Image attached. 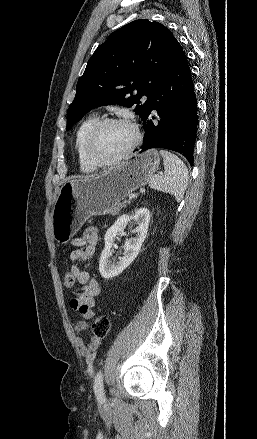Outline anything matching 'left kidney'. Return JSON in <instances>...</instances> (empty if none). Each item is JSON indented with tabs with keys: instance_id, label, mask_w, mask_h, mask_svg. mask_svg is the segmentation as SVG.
<instances>
[{
	"instance_id": "obj_1",
	"label": "left kidney",
	"mask_w": 257,
	"mask_h": 439,
	"mask_svg": "<svg viewBox=\"0 0 257 439\" xmlns=\"http://www.w3.org/2000/svg\"><path fill=\"white\" fill-rule=\"evenodd\" d=\"M150 212L147 208H139L134 213L120 216L107 230L104 240L105 247L99 260V271L103 278L110 279L121 274L137 257L147 237ZM136 224V236L125 241L124 255L118 262L110 259L112 245L118 233L123 232L126 225Z\"/></svg>"
}]
</instances>
